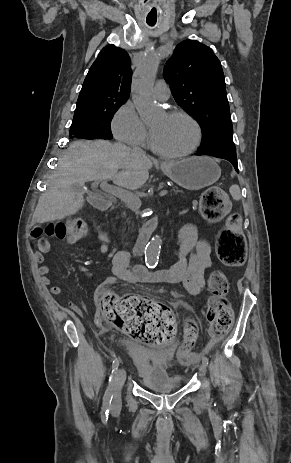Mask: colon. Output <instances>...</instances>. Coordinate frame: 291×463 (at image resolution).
Returning <instances> with one entry per match:
<instances>
[{
	"mask_svg": "<svg viewBox=\"0 0 291 463\" xmlns=\"http://www.w3.org/2000/svg\"><path fill=\"white\" fill-rule=\"evenodd\" d=\"M200 208L203 216L211 222L221 219L230 208L227 194L219 187L207 189L201 197ZM88 228L81 219H73L66 223L51 222L44 227H36L34 234L46 238L78 240L85 237ZM219 260L228 266H241L246 257V242L241 230V217L232 214L221 229L216 245ZM207 319L211 334L218 339L230 329L234 314L226 299L227 283L224 276L214 273L210 277ZM102 318L124 333L149 344L165 345L175 335V320L171 312L164 306L143 297L119 298L113 292L102 288L97 293ZM197 334L193 322L187 324L183 348L178 354L179 361L189 363L193 356L189 348Z\"/></svg>",
	"mask_w": 291,
	"mask_h": 463,
	"instance_id": "colon-1",
	"label": "colon"
}]
</instances>
